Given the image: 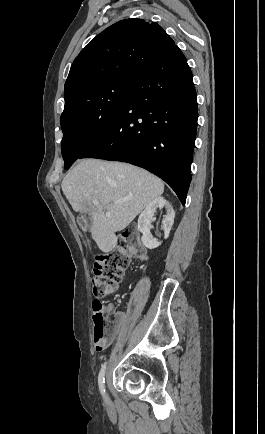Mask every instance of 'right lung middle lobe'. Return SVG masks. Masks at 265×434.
I'll list each match as a JSON object with an SVG mask.
<instances>
[{
  "label": "right lung middle lobe",
  "mask_w": 265,
  "mask_h": 434,
  "mask_svg": "<svg viewBox=\"0 0 265 434\" xmlns=\"http://www.w3.org/2000/svg\"><path fill=\"white\" fill-rule=\"evenodd\" d=\"M135 77L107 76L64 93L60 123L65 169L89 149L118 117Z\"/></svg>",
  "instance_id": "1"
}]
</instances>
